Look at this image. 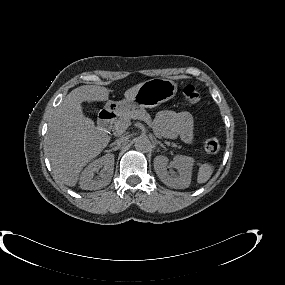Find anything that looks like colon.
Masks as SVG:
<instances>
[{"instance_id":"obj_1","label":"colon","mask_w":285,"mask_h":285,"mask_svg":"<svg viewBox=\"0 0 285 285\" xmlns=\"http://www.w3.org/2000/svg\"><path fill=\"white\" fill-rule=\"evenodd\" d=\"M183 96H184V100L189 105H196L202 99L201 92L192 85H187L184 87ZM204 148L206 152L210 154H215L220 149V142L216 137H208L204 141Z\"/></svg>"}]
</instances>
